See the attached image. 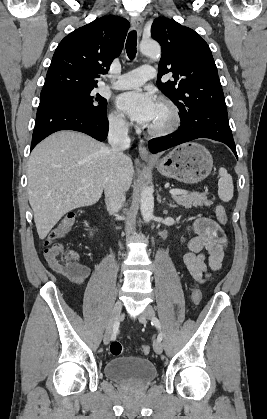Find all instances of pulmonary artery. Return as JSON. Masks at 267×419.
<instances>
[{"instance_id":"obj_1","label":"pulmonary artery","mask_w":267,"mask_h":419,"mask_svg":"<svg viewBox=\"0 0 267 419\" xmlns=\"http://www.w3.org/2000/svg\"><path fill=\"white\" fill-rule=\"evenodd\" d=\"M155 68L150 65H143L118 77L114 84L116 89H129L142 85L147 80L154 78Z\"/></svg>"}]
</instances>
